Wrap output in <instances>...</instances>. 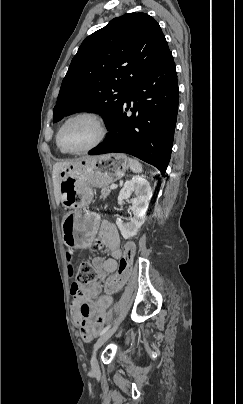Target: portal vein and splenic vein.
Masks as SVG:
<instances>
[{
  "label": "portal vein and splenic vein",
  "instance_id": "18ae733b",
  "mask_svg": "<svg viewBox=\"0 0 243 404\" xmlns=\"http://www.w3.org/2000/svg\"><path fill=\"white\" fill-rule=\"evenodd\" d=\"M115 188H118V186H116V184H111L110 190H115Z\"/></svg>",
  "mask_w": 243,
  "mask_h": 404
}]
</instances>
